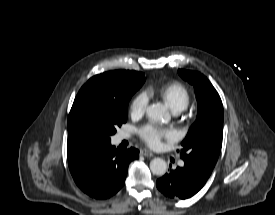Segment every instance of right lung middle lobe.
Masks as SVG:
<instances>
[{
    "mask_svg": "<svg viewBox=\"0 0 275 215\" xmlns=\"http://www.w3.org/2000/svg\"><path fill=\"white\" fill-rule=\"evenodd\" d=\"M104 80L92 77L77 94L68 117V146L110 142L116 128L127 121L128 102L145 78L137 72L117 89H107Z\"/></svg>",
    "mask_w": 275,
    "mask_h": 215,
    "instance_id": "right-lung-middle-lobe-1",
    "label": "right lung middle lobe"
}]
</instances>
